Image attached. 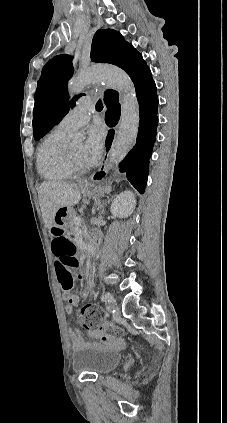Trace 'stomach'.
Returning <instances> with one entry per match:
<instances>
[{
	"label": "stomach",
	"instance_id": "0dacf381",
	"mask_svg": "<svg viewBox=\"0 0 227 423\" xmlns=\"http://www.w3.org/2000/svg\"><path fill=\"white\" fill-rule=\"evenodd\" d=\"M80 186L82 194H84V196H88V198H96V196H99V194L104 192V188H96L94 184H89V182H81Z\"/></svg>",
	"mask_w": 227,
	"mask_h": 423
}]
</instances>
